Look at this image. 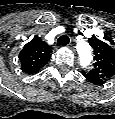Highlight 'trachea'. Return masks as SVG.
<instances>
[{
    "instance_id": "trachea-1",
    "label": "trachea",
    "mask_w": 115,
    "mask_h": 119,
    "mask_svg": "<svg viewBox=\"0 0 115 119\" xmlns=\"http://www.w3.org/2000/svg\"><path fill=\"white\" fill-rule=\"evenodd\" d=\"M69 43V37L67 35H62L57 40V46H64Z\"/></svg>"
}]
</instances>
